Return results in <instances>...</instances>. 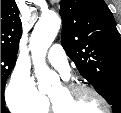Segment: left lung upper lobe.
I'll return each mask as SVG.
<instances>
[{
    "mask_svg": "<svg viewBox=\"0 0 121 113\" xmlns=\"http://www.w3.org/2000/svg\"><path fill=\"white\" fill-rule=\"evenodd\" d=\"M62 46L81 75L121 113V41L104 0H61Z\"/></svg>",
    "mask_w": 121,
    "mask_h": 113,
    "instance_id": "5c2ea615",
    "label": "left lung upper lobe"
}]
</instances>
